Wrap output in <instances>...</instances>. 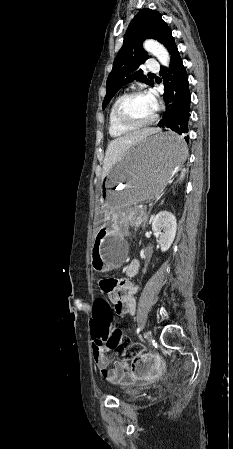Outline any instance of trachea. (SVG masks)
Returning a JSON list of instances; mask_svg holds the SVG:
<instances>
[{"label":"trachea","instance_id":"1","mask_svg":"<svg viewBox=\"0 0 233 449\" xmlns=\"http://www.w3.org/2000/svg\"><path fill=\"white\" fill-rule=\"evenodd\" d=\"M149 75H154L153 73H150Z\"/></svg>","mask_w":233,"mask_h":449}]
</instances>
